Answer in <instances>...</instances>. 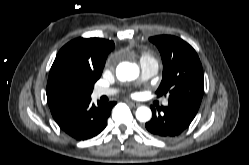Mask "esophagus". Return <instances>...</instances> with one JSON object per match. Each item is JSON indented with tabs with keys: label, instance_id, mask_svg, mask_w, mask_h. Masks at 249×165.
Listing matches in <instances>:
<instances>
[{
	"label": "esophagus",
	"instance_id": "1",
	"mask_svg": "<svg viewBox=\"0 0 249 165\" xmlns=\"http://www.w3.org/2000/svg\"><path fill=\"white\" fill-rule=\"evenodd\" d=\"M127 104L129 105V106H131V107H134V108H136V107H138L140 104L139 103H137V102H132V101H127Z\"/></svg>",
	"mask_w": 249,
	"mask_h": 165
}]
</instances>
